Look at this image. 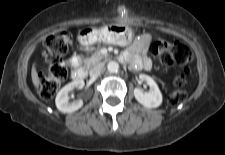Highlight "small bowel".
Wrapping results in <instances>:
<instances>
[{
  "mask_svg": "<svg viewBox=\"0 0 225 155\" xmlns=\"http://www.w3.org/2000/svg\"><path fill=\"white\" fill-rule=\"evenodd\" d=\"M148 41L145 38L137 39L123 53V60L131 63L137 69L149 70L152 66L150 59L147 57ZM78 57L73 58L72 62L77 63Z\"/></svg>",
  "mask_w": 225,
  "mask_h": 155,
  "instance_id": "small-bowel-1",
  "label": "small bowel"
}]
</instances>
